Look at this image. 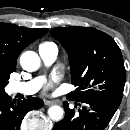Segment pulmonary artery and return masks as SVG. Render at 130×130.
Wrapping results in <instances>:
<instances>
[{"label":"pulmonary artery","mask_w":130,"mask_h":130,"mask_svg":"<svg viewBox=\"0 0 130 130\" xmlns=\"http://www.w3.org/2000/svg\"><path fill=\"white\" fill-rule=\"evenodd\" d=\"M57 54L56 46L39 48V55L45 65H51L56 60ZM43 81V77H36L27 82H10L7 89L13 94L32 95L40 89Z\"/></svg>","instance_id":"1"}]
</instances>
